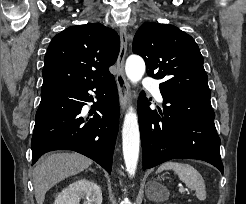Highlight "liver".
Masks as SVG:
<instances>
[{
  "instance_id": "1",
  "label": "liver",
  "mask_w": 246,
  "mask_h": 204,
  "mask_svg": "<svg viewBox=\"0 0 246 204\" xmlns=\"http://www.w3.org/2000/svg\"><path fill=\"white\" fill-rule=\"evenodd\" d=\"M92 164L79 153H51L37 163L33 170L34 193L37 204H43L46 192L58 182L75 175Z\"/></svg>"
}]
</instances>
